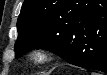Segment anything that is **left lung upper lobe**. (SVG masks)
Listing matches in <instances>:
<instances>
[{"mask_svg": "<svg viewBox=\"0 0 107 75\" xmlns=\"http://www.w3.org/2000/svg\"><path fill=\"white\" fill-rule=\"evenodd\" d=\"M98 7L90 0H25L17 21L15 56L37 48L58 55L73 50L80 23Z\"/></svg>", "mask_w": 107, "mask_h": 75, "instance_id": "1", "label": "left lung upper lobe"}]
</instances>
